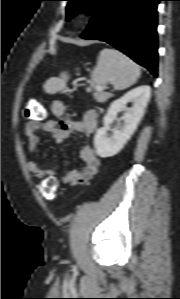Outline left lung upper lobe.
<instances>
[{
  "mask_svg": "<svg viewBox=\"0 0 180 299\" xmlns=\"http://www.w3.org/2000/svg\"><path fill=\"white\" fill-rule=\"evenodd\" d=\"M68 1L66 7V19L70 20L79 12H86L92 14L101 0H66Z\"/></svg>",
  "mask_w": 180,
  "mask_h": 299,
  "instance_id": "5c2ea615",
  "label": "left lung upper lobe"
}]
</instances>
